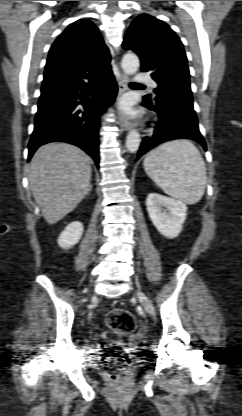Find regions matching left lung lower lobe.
<instances>
[{
    "instance_id": "0a47b994",
    "label": "left lung lower lobe",
    "mask_w": 242,
    "mask_h": 416,
    "mask_svg": "<svg viewBox=\"0 0 242 416\" xmlns=\"http://www.w3.org/2000/svg\"><path fill=\"white\" fill-rule=\"evenodd\" d=\"M143 105L157 112L159 121L154 127V134L143 139L137 159L156 145L176 139L194 140L206 150V143L199 131L193 102L174 96H163L158 100L144 98Z\"/></svg>"
}]
</instances>
